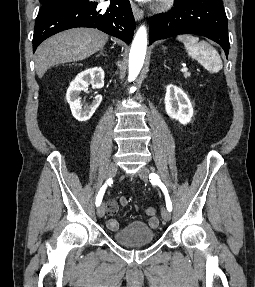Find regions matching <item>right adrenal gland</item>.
I'll return each instance as SVG.
<instances>
[{
	"label": "right adrenal gland",
	"mask_w": 255,
	"mask_h": 287,
	"mask_svg": "<svg viewBox=\"0 0 255 287\" xmlns=\"http://www.w3.org/2000/svg\"><path fill=\"white\" fill-rule=\"evenodd\" d=\"M99 56H105L103 50H101L100 54H98V56H95V58H99Z\"/></svg>",
	"instance_id": "2a0ac1e0"
}]
</instances>
